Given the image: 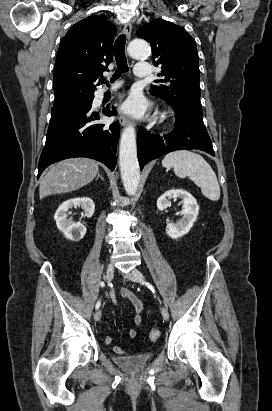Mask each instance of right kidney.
Segmentation results:
<instances>
[{"label":"right kidney","mask_w":272,"mask_h":411,"mask_svg":"<svg viewBox=\"0 0 272 411\" xmlns=\"http://www.w3.org/2000/svg\"><path fill=\"white\" fill-rule=\"evenodd\" d=\"M81 207L83 216L90 218L94 214L95 204L89 197L73 198L63 202L55 212L54 219L57 228L71 241H79L86 234V227L80 222L67 218V212L72 207Z\"/></svg>","instance_id":"ca27d5eb"}]
</instances>
